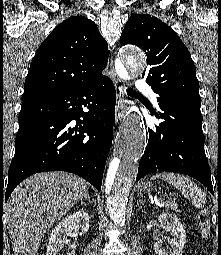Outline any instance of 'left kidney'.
Instances as JSON below:
<instances>
[{"label":"left kidney","instance_id":"5707ae66","mask_svg":"<svg viewBox=\"0 0 221 255\" xmlns=\"http://www.w3.org/2000/svg\"><path fill=\"white\" fill-rule=\"evenodd\" d=\"M158 219L172 235L170 240L172 250L163 247L162 242H156L154 244L155 252L158 255H182L183 247L186 243V232L183 225L176 216L171 214L163 213Z\"/></svg>","mask_w":221,"mask_h":255}]
</instances>
